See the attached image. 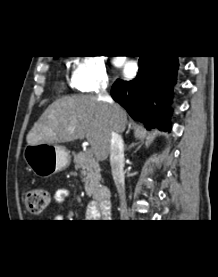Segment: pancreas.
<instances>
[{"mask_svg": "<svg viewBox=\"0 0 218 277\" xmlns=\"http://www.w3.org/2000/svg\"><path fill=\"white\" fill-rule=\"evenodd\" d=\"M74 164L75 169L81 170V175L84 177L83 182L87 195L95 194L100 187L101 174L93 154L88 151L75 154Z\"/></svg>", "mask_w": 218, "mask_h": 277, "instance_id": "cf45deb5", "label": "pancreas"}]
</instances>
